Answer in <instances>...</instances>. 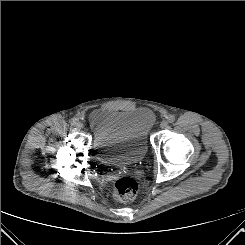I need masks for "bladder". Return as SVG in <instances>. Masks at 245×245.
I'll return each mask as SVG.
<instances>
[{"label": "bladder", "mask_w": 245, "mask_h": 245, "mask_svg": "<svg viewBox=\"0 0 245 245\" xmlns=\"http://www.w3.org/2000/svg\"><path fill=\"white\" fill-rule=\"evenodd\" d=\"M155 114L148 107L99 108L88 116L96 156L107 167L139 162L147 153Z\"/></svg>", "instance_id": "obj_1"}]
</instances>
